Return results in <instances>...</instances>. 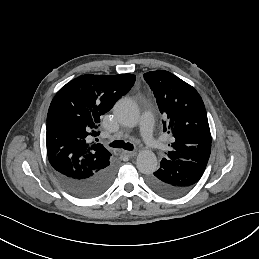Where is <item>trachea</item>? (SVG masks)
I'll list each match as a JSON object with an SVG mask.
<instances>
[{
  "label": "trachea",
  "mask_w": 259,
  "mask_h": 259,
  "mask_svg": "<svg viewBox=\"0 0 259 259\" xmlns=\"http://www.w3.org/2000/svg\"><path fill=\"white\" fill-rule=\"evenodd\" d=\"M109 146L113 148H123L124 150H133L134 145L131 143H125L123 140H115L111 143H108Z\"/></svg>",
  "instance_id": "1"
}]
</instances>
